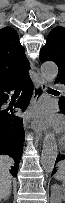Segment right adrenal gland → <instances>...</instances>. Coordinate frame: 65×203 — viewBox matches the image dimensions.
I'll return each instance as SVG.
<instances>
[{"label":"right adrenal gland","mask_w":65,"mask_h":203,"mask_svg":"<svg viewBox=\"0 0 65 203\" xmlns=\"http://www.w3.org/2000/svg\"><path fill=\"white\" fill-rule=\"evenodd\" d=\"M9 197H10V194L6 198H4L3 200L6 201L9 199Z\"/></svg>","instance_id":"1"}]
</instances>
